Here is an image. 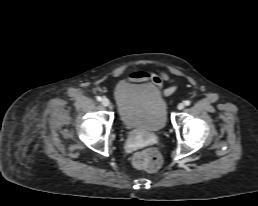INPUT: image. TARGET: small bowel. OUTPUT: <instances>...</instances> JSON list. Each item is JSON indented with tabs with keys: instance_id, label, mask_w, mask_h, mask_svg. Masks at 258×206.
<instances>
[{
	"instance_id": "obj_1",
	"label": "small bowel",
	"mask_w": 258,
	"mask_h": 206,
	"mask_svg": "<svg viewBox=\"0 0 258 206\" xmlns=\"http://www.w3.org/2000/svg\"><path fill=\"white\" fill-rule=\"evenodd\" d=\"M128 80L131 82H147V83L154 84L161 89L162 94L164 96L171 95L177 89V86L175 84H173L168 88L162 87L164 82H170V83L174 82L171 76L164 71H159V72H149V71H143V70L135 71L129 75Z\"/></svg>"
}]
</instances>
